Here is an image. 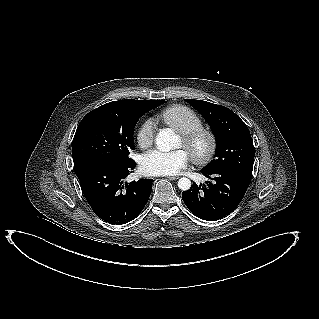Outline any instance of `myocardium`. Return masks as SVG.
I'll return each instance as SVG.
<instances>
[{
	"instance_id": "1",
	"label": "myocardium",
	"mask_w": 319,
	"mask_h": 319,
	"mask_svg": "<svg viewBox=\"0 0 319 319\" xmlns=\"http://www.w3.org/2000/svg\"><path fill=\"white\" fill-rule=\"evenodd\" d=\"M183 146L189 152L192 160L198 165L209 163L217 151V138L215 133L204 126L197 127L181 134ZM203 142V149H198V144Z\"/></svg>"
}]
</instances>
